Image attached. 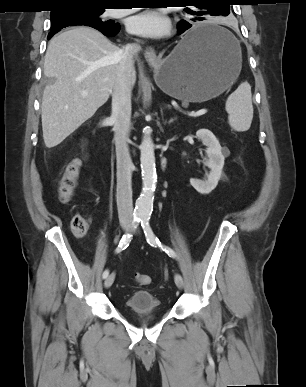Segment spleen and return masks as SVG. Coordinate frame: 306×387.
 Listing matches in <instances>:
<instances>
[{
	"label": "spleen",
	"mask_w": 306,
	"mask_h": 387,
	"mask_svg": "<svg viewBox=\"0 0 306 387\" xmlns=\"http://www.w3.org/2000/svg\"><path fill=\"white\" fill-rule=\"evenodd\" d=\"M225 109L228 113V122L235 131H247L253 119V105L251 86L243 82L227 98Z\"/></svg>",
	"instance_id": "obj_1"
}]
</instances>
